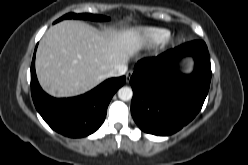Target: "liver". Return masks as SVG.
<instances>
[{
    "instance_id": "liver-1",
    "label": "liver",
    "mask_w": 248,
    "mask_h": 165,
    "mask_svg": "<svg viewBox=\"0 0 248 165\" xmlns=\"http://www.w3.org/2000/svg\"><path fill=\"white\" fill-rule=\"evenodd\" d=\"M134 28L101 32L80 21L55 24L41 39L36 73L42 88L55 97L83 94L108 78V73L143 46Z\"/></svg>"
}]
</instances>
